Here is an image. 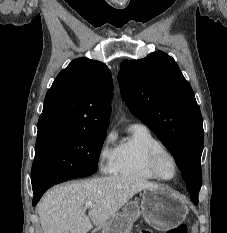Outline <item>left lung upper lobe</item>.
<instances>
[{"label":"left lung upper lobe","instance_id":"obj_1","mask_svg":"<svg viewBox=\"0 0 227 233\" xmlns=\"http://www.w3.org/2000/svg\"><path fill=\"white\" fill-rule=\"evenodd\" d=\"M118 80L130 111L174 156L192 201L198 202L203 121L194 92L177 63L162 51L140 60H124Z\"/></svg>","mask_w":227,"mask_h":233}]
</instances>
